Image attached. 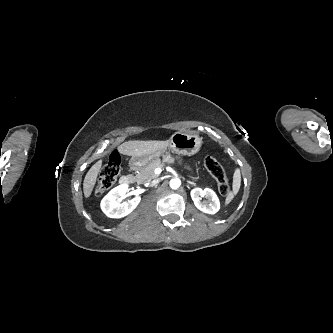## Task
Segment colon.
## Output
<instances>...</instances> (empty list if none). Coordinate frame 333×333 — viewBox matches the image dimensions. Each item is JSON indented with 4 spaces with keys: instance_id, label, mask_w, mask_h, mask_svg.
Returning <instances> with one entry per match:
<instances>
[{
    "instance_id": "5ec220e1",
    "label": "colon",
    "mask_w": 333,
    "mask_h": 333,
    "mask_svg": "<svg viewBox=\"0 0 333 333\" xmlns=\"http://www.w3.org/2000/svg\"><path fill=\"white\" fill-rule=\"evenodd\" d=\"M120 165V154L118 152L112 153L107 161V164L100 172L95 186L96 194H102L114 185L120 173ZM204 167L217 181L221 194L225 196L228 195L231 191V185L230 179L223 165L213 156H206L204 158Z\"/></svg>"
}]
</instances>
